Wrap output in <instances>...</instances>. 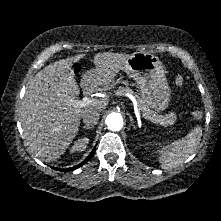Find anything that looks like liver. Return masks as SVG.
Segmentation results:
<instances>
[{
	"label": "liver",
	"instance_id": "6515ba94",
	"mask_svg": "<svg viewBox=\"0 0 221 221\" xmlns=\"http://www.w3.org/2000/svg\"><path fill=\"white\" fill-rule=\"evenodd\" d=\"M129 54L97 53L89 86L113 88L114 79L124 69ZM83 55L56 61L39 71L30 81L22 101L20 121L27 146L43 161H54L65 153L76 137L80 119L91 110L102 111L109 99L96 104L74 108L67 104L80 94L79 86L71 70L73 63Z\"/></svg>",
	"mask_w": 221,
	"mask_h": 221
}]
</instances>
